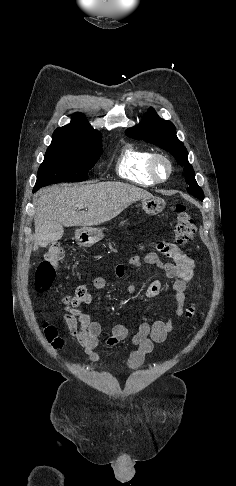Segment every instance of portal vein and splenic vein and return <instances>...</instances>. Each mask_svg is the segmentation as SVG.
I'll return each mask as SVG.
<instances>
[{
	"label": "portal vein and splenic vein",
	"mask_w": 236,
	"mask_h": 486,
	"mask_svg": "<svg viewBox=\"0 0 236 486\" xmlns=\"http://www.w3.org/2000/svg\"><path fill=\"white\" fill-rule=\"evenodd\" d=\"M79 209H83L84 207L83 206H78Z\"/></svg>",
	"instance_id": "1"
}]
</instances>
